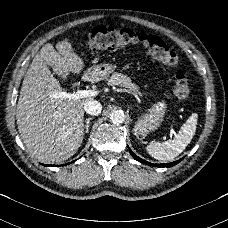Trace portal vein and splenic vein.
<instances>
[{
	"mask_svg": "<svg viewBox=\"0 0 228 228\" xmlns=\"http://www.w3.org/2000/svg\"><path fill=\"white\" fill-rule=\"evenodd\" d=\"M90 91L78 90L75 94L68 93L66 91H62L56 94L57 98H83L86 97ZM167 134L171 136V138H176V132L172 129H167ZM160 140H166V135H160Z\"/></svg>",
	"mask_w": 228,
	"mask_h": 228,
	"instance_id": "1",
	"label": "portal vein and splenic vein"
}]
</instances>
